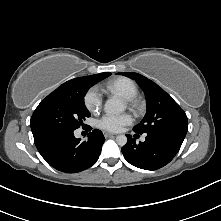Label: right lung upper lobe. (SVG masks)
Returning a JSON list of instances; mask_svg holds the SVG:
<instances>
[{"label": "right lung upper lobe", "mask_w": 221, "mask_h": 221, "mask_svg": "<svg viewBox=\"0 0 221 221\" xmlns=\"http://www.w3.org/2000/svg\"><path fill=\"white\" fill-rule=\"evenodd\" d=\"M75 79H76V78H75ZM75 79H72V80H69V81L63 83V84H62L61 86H59L57 89H58V90H63V89L70 88V87L73 85Z\"/></svg>", "instance_id": "right-lung-upper-lobe-1"}]
</instances>
